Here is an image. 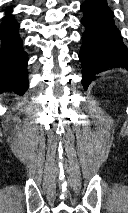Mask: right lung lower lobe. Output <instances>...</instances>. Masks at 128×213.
Returning <instances> with one entry per match:
<instances>
[{"instance_id":"1","label":"right lung lower lobe","mask_w":128,"mask_h":213,"mask_svg":"<svg viewBox=\"0 0 128 213\" xmlns=\"http://www.w3.org/2000/svg\"><path fill=\"white\" fill-rule=\"evenodd\" d=\"M1 24L0 52V92L15 90L23 93L28 88L27 53L22 50V41L18 34L19 24L10 15Z\"/></svg>"}]
</instances>
